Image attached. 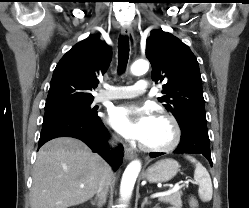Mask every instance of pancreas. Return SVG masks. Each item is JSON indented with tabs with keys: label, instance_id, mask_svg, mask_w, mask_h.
Instances as JSON below:
<instances>
[{
	"label": "pancreas",
	"instance_id": "cf45deb5",
	"mask_svg": "<svg viewBox=\"0 0 249 208\" xmlns=\"http://www.w3.org/2000/svg\"><path fill=\"white\" fill-rule=\"evenodd\" d=\"M182 191H176L174 193H171L169 195H165L162 197H159V200L164 203H169L173 205V208H181L182 207V200H181Z\"/></svg>",
	"mask_w": 249,
	"mask_h": 208
}]
</instances>
